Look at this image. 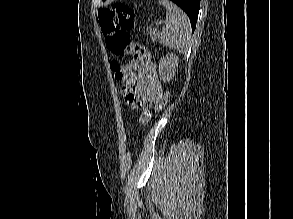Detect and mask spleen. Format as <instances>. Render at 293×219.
<instances>
[{
	"mask_svg": "<svg viewBox=\"0 0 293 219\" xmlns=\"http://www.w3.org/2000/svg\"><path fill=\"white\" fill-rule=\"evenodd\" d=\"M166 8L165 27L160 33V44L185 53L190 46L191 24L187 15L169 0H160Z\"/></svg>",
	"mask_w": 293,
	"mask_h": 219,
	"instance_id": "3e777b00",
	"label": "spleen"
}]
</instances>
